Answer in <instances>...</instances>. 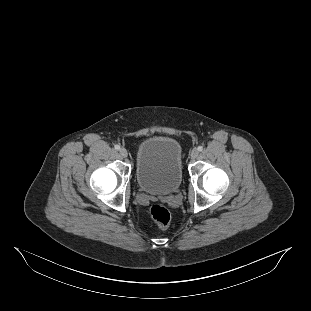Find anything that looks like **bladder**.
<instances>
[{
    "label": "bladder",
    "mask_w": 311,
    "mask_h": 311,
    "mask_svg": "<svg viewBox=\"0 0 311 311\" xmlns=\"http://www.w3.org/2000/svg\"><path fill=\"white\" fill-rule=\"evenodd\" d=\"M135 177L145 193L168 195L176 192L183 181L180 143L165 135L143 140L137 151Z\"/></svg>",
    "instance_id": "31cf9c89"
}]
</instances>
